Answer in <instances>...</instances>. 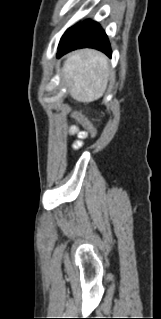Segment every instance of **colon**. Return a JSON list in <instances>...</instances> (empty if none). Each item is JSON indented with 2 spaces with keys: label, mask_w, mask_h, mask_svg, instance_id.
<instances>
[{
  "label": "colon",
  "mask_w": 161,
  "mask_h": 319,
  "mask_svg": "<svg viewBox=\"0 0 161 319\" xmlns=\"http://www.w3.org/2000/svg\"><path fill=\"white\" fill-rule=\"evenodd\" d=\"M73 115L80 123L87 135H89L90 137L96 136V129L94 125L90 122L88 118L85 117V115L81 111H74Z\"/></svg>",
  "instance_id": "obj_1"
}]
</instances>
